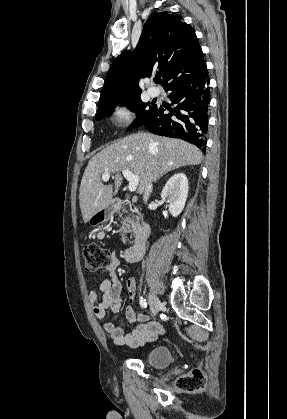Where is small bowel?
<instances>
[{"mask_svg":"<svg viewBox=\"0 0 287 419\" xmlns=\"http://www.w3.org/2000/svg\"><path fill=\"white\" fill-rule=\"evenodd\" d=\"M119 263L117 253L114 252L110 263L93 277L94 288L90 291L89 298L93 304V312L99 319H105L108 309L117 313L122 306V286L116 275ZM126 287L130 302L126 308L125 315L130 323H137V325L130 333H125L123 328L108 321L104 323V330L115 345L136 348L154 340L163 332V327L156 321L147 322V317L144 313L136 314L133 306L136 283L133 277H129L126 280ZM98 290L102 294L100 300L98 299Z\"/></svg>","mask_w":287,"mask_h":419,"instance_id":"c3829d8e","label":"small bowel"}]
</instances>
